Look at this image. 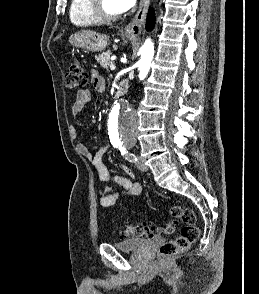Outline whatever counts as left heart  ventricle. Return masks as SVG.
<instances>
[{
    "mask_svg": "<svg viewBox=\"0 0 259 294\" xmlns=\"http://www.w3.org/2000/svg\"><path fill=\"white\" fill-rule=\"evenodd\" d=\"M102 5L108 13H111V14L121 13L115 0H102Z\"/></svg>",
    "mask_w": 259,
    "mask_h": 294,
    "instance_id": "left-heart-ventricle-1",
    "label": "left heart ventricle"
}]
</instances>
